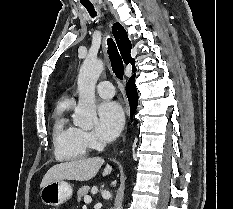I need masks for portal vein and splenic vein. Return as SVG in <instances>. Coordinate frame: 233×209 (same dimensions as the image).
<instances>
[{"label": "portal vein and splenic vein", "mask_w": 233, "mask_h": 209, "mask_svg": "<svg viewBox=\"0 0 233 209\" xmlns=\"http://www.w3.org/2000/svg\"><path fill=\"white\" fill-rule=\"evenodd\" d=\"M84 202H85L86 204H89V203L92 202V198H91L90 196H86V197L84 198Z\"/></svg>", "instance_id": "1"}]
</instances>
